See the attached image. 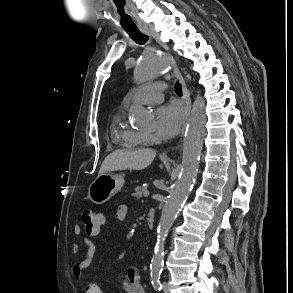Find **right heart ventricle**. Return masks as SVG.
<instances>
[{
	"mask_svg": "<svg viewBox=\"0 0 293 293\" xmlns=\"http://www.w3.org/2000/svg\"><path fill=\"white\" fill-rule=\"evenodd\" d=\"M112 136L120 146L125 148H139L148 144L143 133L127 127L121 114L114 118Z\"/></svg>",
	"mask_w": 293,
	"mask_h": 293,
	"instance_id": "obj_1",
	"label": "right heart ventricle"
}]
</instances>
